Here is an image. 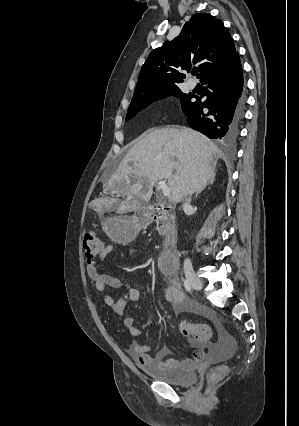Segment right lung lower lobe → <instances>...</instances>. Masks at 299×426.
Listing matches in <instances>:
<instances>
[{"mask_svg":"<svg viewBox=\"0 0 299 426\" xmlns=\"http://www.w3.org/2000/svg\"><path fill=\"white\" fill-rule=\"evenodd\" d=\"M204 102L197 96L182 109L187 122L209 138H232L243 116V74L238 53L223 67L206 74ZM207 108L208 112L204 113Z\"/></svg>","mask_w":299,"mask_h":426,"instance_id":"1","label":"right lung lower lobe"}]
</instances>
